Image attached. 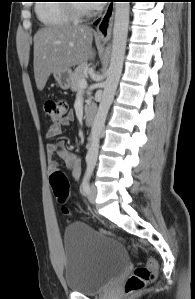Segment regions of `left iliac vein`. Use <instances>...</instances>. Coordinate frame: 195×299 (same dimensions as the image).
I'll return each instance as SVG.
<instances>
[{
    "label": "left iliac vein",
    "mask_w": 195,
    "mask_h": 299,
    "mask_svg": "<svg viewBox=\"0 0 195 299\" xmlns=\"http://www.w3.org/2000/svg\"><path fill=\"white\" fill-rule=\"evenodd\" d=\"M97 193V187L92 184L88 192V200L90 201V203L95 204Z\"/></svg>",
    "instance_id": "left-iliac-vein-1"
}]
</instances>
